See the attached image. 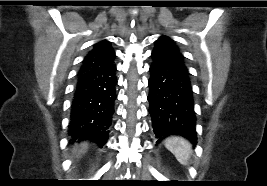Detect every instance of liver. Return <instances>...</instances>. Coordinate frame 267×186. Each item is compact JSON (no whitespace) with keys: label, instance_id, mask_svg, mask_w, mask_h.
<instances>
[{"label":"liver","instance_id":"obj_1","mask_svg":"<svg viewBox=\"0 0 267 186\" xmlns=\"http://www.w3.org/2000/svg\"><path fill=\"white\" fill-rule=\"evenodd\" d=\"M78 147H79V152H80V153H83V152H85V150L87 149V143L83 142V143H81ZM76 150H77V149L74 148V151H76Z\"/></svg>","mask_w":267,"mask_h":186}]
</instances>
